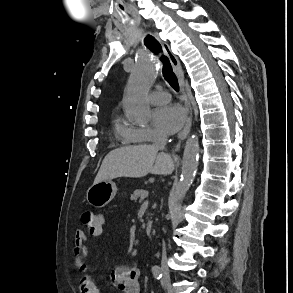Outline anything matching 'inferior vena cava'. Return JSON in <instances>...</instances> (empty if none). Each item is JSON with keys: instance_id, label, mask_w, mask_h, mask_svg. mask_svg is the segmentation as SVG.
Segmentation results:
<instances>
[{"instance_id": "602c4592", "label": "inferior vena cava", "mask_w": 293, "mask_h": 293, "mask_svg": "<svg viewBox=\"0 0 293 293\" xmlns=\"http://www.w3.org/2000/svg\"><path fill=\"white\" fill-rule=\"evenodd\" d=\"M167 144V136L165 134H161L158 136L154 147L158 150H164L165 146ZM161 268L162 271L168 272V266H167V256H166V249L165 244L163 243V252H162V261H161Z\"/></svg>"}]
</instances>
